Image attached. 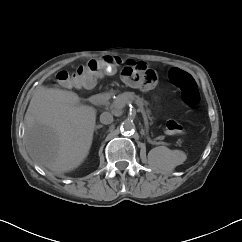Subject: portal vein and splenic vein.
<instances>
[{"label": "portal vein and splenic vein", "mask_w": 242, "mask_h": 242, "mask_svg": "<svg viewBox=\"0 0 242 242\" xmlns=\"http://www.w3.org/2000/svg\"><path fill=\"white\" fill-rule=\"evenodd\" d=\"M138 112H141L142 113L143 118H144V121H145V123H147V117H146V114H145V111L143 110V108H139L138 109Z\"/></svg>", "instance_id": "portal-vein-and-splenic-vein-1"}]
</instances>
